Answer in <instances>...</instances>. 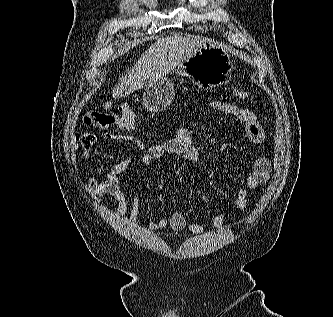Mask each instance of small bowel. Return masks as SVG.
I'll return each instance as SVG.
<instances>
[{
	"mask_svg": "<svg viewBox=\"0 0 333 317\" xmlns=\"http://www.w3.org/2000/svg\"><path fill=\"white\" fill-rule=\"evenodd\" d=\"M209 106L215 111L234 116L240 121L245 129L248 139L260 144L265 139V133L260 125L254 112L249 109L223 101H211ZM104 141H129L140 148H144L142 142L135 136L129 134L105 133L102 135ZM96 136L93 134H84L77 136L73 142V152L76 153L80 148L82 157L88 161L93 144L96 142ZM175 155L184 160L195 164L202 163V156L193 143L191 133L182 124H179L175 135L167 140L150 146L143 154L140 162L143 166H151L154 162L159 161L167 156ZM245 162L246 179L242 186L237 190L235 197V208L237 212H242L248 205L249 191L256 190L259 186L265 184L271 174V163L266 158L252 160L248 155H242ZM133 158L127 157L117 163L107 174L106 179L99 180L96 177H90L86 183L87 192L95 200L103 196H109L117 202L116 214L119 218L129 214L133 222L137 221L139 211V201L134 191L130 190L129 194L124 192L121 175L132 165ZM225 215L220 211L212 218V226L221 228L224 224ZM148 228L152 231L170 228L177 232L189 230L195 234L204 232V226L187 221L181 212H174L169 217H162L159 220H150Z\"/></svg>",
	"mask_w": 333,
	"mask_h": 317,
	"instance_id": "obj_1",
	"label": "small bowel"
}]
</instances>
